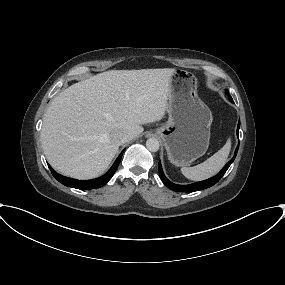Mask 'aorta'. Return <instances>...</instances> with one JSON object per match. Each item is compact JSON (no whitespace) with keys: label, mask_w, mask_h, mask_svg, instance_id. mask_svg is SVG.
<instances>
[{"label":"aorta","mask_w":285,"mask_h":285,"mask_svg":"<svg viewBox=\"0 0 285 285\" xmlns=\"http://www.w3.org/2000/svg\"><path fill=\"white\" fill-rule=\"evenodd\" d=\"M146 147L151 152H156L159 150V141L156 138H149L146 141Z\"/></svg>","instance_id":"1"}]
</instances>
